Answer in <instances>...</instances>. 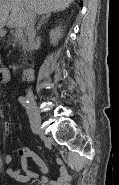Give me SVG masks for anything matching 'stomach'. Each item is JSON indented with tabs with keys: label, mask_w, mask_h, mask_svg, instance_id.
Instances as JSON below:
<instances>
[{
	"label": "stomach",
	"mask_w": 119,
	"mask_h": 185,
	"mask_svg": "<svg viewBox=\"0 0 119 185\" xmlns=\"http://www.w3.org/2000/svg\"><path fill=\"white\" fill-rule=\"evenodd\" d=\"M5 35V31L0 29V37H3Z\"/></svg>",
	"instance_id": "1"
}]
</instances>
